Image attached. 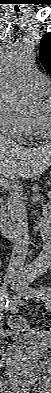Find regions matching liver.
Listing matches in <instances>:
<instances>
[{
	"mask_svg": "<svg viewBox=\"0 0 51 393\" xmlns=\"http://www.w3.org/2000/svg\"><path fill=\"white\" fill-rule=\"evenodd\" d=\"M51 165V146L24 148L6 136H0L1 179L17 181L21 178L37 176Z\"/></svg>",
	"mask_w": 51,
	"mask_h": 393,
	"instance_id": "6515ba94",
	"label": "liver"
}]
</instances>
